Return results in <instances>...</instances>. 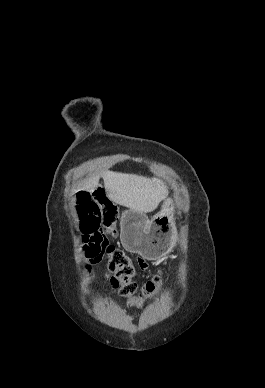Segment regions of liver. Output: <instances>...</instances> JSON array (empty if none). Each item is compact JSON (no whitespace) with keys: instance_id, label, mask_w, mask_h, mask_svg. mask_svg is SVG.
Here are the masks:
<instances>
[{"instance_id":"obj_1","label":"liver","mask_w":265,"mask_h":388,"mask_svg":"<svg viewBox=\"0 0 265 388\" xmlns=\"http://www.w3.org/2000/svg\"><path fill=\"white\" fill-rule=\"evenodd\" d=\"M107 198L130 208L133 212L148 214L158 208L160 202L168 196V190L161 180L157 178H144L135 174H119V172H103ZM100 176H92L82 184V190H95L99 184Z\"/></svg>"}]
</instances>
